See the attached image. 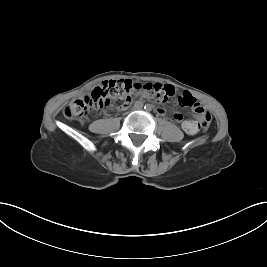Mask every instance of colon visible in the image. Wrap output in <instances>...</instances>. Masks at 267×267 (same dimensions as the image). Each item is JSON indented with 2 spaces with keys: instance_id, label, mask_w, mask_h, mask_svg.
<instances>
[{
  "instance_id": "5ec220e1",
  "label": "colon",
  "mask_w": 267,
  "mask_h": 267,
  "mask_svg": "<svg viewBox=\"0 0 267 267\" xmlns=\"http://www.w3.org/2000/svg\"><path fill=\"white\" fill-rule=\"evenodd\" d=\"M135 94L165 103L173 96L174 92L168 85L157 83L142 85L132 81L116 80L96 88L90 95L74 97L65 106L64 113L70 119L84 121L90 114L109 106L114 101L121 100L129 103ZM179 103L182 106L192 108L197 129L205 131L209 128L211 122L210 113L197 103L193 97L183 93L179 97ZM174 119H179V115H174Z\"/></svg>"
}]
</instances>
